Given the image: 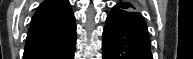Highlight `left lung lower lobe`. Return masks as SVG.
<instances>
[{"instance_id": "1", "label": "left lung lower lobe", "mask_w": 193, "mask_h": 59, "mask_svg": "<svg viewBox=\"0 0 193 59\" xmlns=\"http://www.w3.org/2000/svg\"><path fill=\"white\" fill-rule=\"evenodd\" d=\"M103 59H152L143 17L112 12L103 31Z\"/></svg>"}]
</instances>
